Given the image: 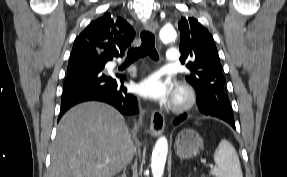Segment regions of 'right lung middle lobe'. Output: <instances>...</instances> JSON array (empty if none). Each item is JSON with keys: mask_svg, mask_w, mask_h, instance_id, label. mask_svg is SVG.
I'll use <instances>...</instances> for the list:
<instances>
[{"mask_svg": "<svg viewBox=\"0 0 287 177\" xmlns=\"http://www.w3.org/2000/svg\"><path fill=\"white\" fill-rule=\"evenodd\" d=\"M107 61L108 60H105L97 56H89V57L81 58L78 60L69 61L68 69H72L83 64H92V63H98V62L102 65H105Z\"/></svg>", "mask_w": 287, "mask_h": 177, "instance_id": "obj_1", "label": "right lung middle lobe"}]
</instances>
